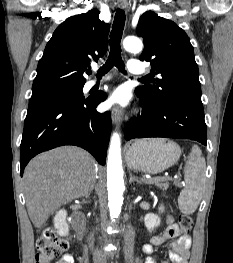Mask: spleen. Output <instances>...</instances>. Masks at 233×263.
Masks as SVG:
<instances>
[{
  "label": "spleen",
  "instance_id": "3e777b00",
  "mask_svg": "<svg viewBox=\"0 0 233 263\" xmlns=\"http://www.w3.org/2000/svg\"><path fill=\"white\" fill-rule=\"evenodd\" d=\"M206 162L200 148L192 146L184 167L185 188L178 197L179 209L184 214H192L197 209L205 184Z\"/></svg>",
  "mask_w": 233,
  "mask_h": 263
}]
</instances>
